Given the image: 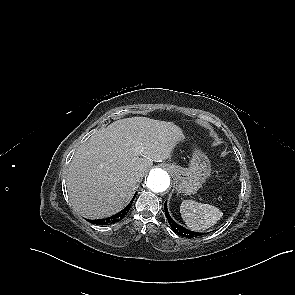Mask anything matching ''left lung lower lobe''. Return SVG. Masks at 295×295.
<instances>
[{
  "label": "left lung lower lobe",
  "mask_w": 295,
  "mask_h": 295,
  "mask_svg": "<svg viewBox=\"0 0 295 295\" xmlns=\"http://www.w3.org/2000/svg\"><path fill=\"white\" fill-rule=\"evenodd\" d=\"M164 209H165V215L166 218L168 219V222L172 228V230L177 233L178 235L182 236V237H196L201 235L202 233H198V232H194V231H190L182 226H180L179 224H177L169 215L168 210H167V205L166 202L164 204Z\"/></svg>",
  "instance_id": "left-lung-lower-lobe-1"
}]
</instances>
